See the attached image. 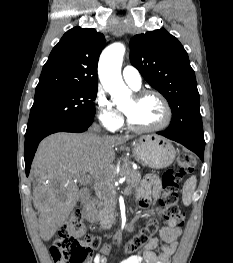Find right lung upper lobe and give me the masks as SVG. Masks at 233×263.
<instances>
[{
	"label": "right lung upper lobe",
	"mask_w": 233,
	"mask_h": 263,
	"mask_svg": "<svg viewBox=\"0 0 233 263\" xmlns=\"http://www.w3.org/2000/svg\"><path fill=\"white\" fill-rule=\"evenodd\" d=\"M105 37L92 28L74 27L51 51L35 95L78 86H97V64Z\"/></svg>",
	"instance_id": "1"
}]
</instances>
